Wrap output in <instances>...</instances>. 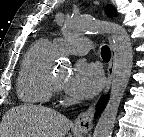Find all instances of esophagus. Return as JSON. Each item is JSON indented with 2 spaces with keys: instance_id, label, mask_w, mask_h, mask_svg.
I'll list each match as a JSON object with an SVG mask.
<instances>
[{
  "instance_id": "1",
  "label": "esophagus",
  "mask_w": 144,
  "mask_h": 137,
  "mask_svg": "<svg viewBox=\"0 0 144 137\" xmlns=\"http://www.w3.org/2000/svg\"><path fill=\"white\" fill-rule=\"evenodd\" d=\"M109 43L111 46V58L107 68V82L102 95H104L109 90L114 75V69H115L116 53H115L114 43L111 37H109ZM98 101L99 98L95 100V102H93L91 106L84 113L80 114L76 118L74 126L79 130H81L82 132L91 131L93 127L92 121L96 112Z\"/></svg>"
}]
</instances>
